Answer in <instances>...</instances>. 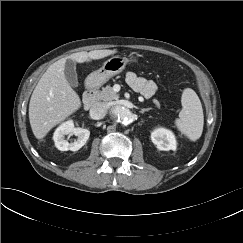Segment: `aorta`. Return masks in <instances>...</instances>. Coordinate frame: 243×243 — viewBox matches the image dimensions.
<instances>
[{
  "label": "aorta",
  "mask_w": 243,
  "mask_h": 243,
  "mask_svg": "<svg viewBox=\"0 0 243 243\" xmlns=\"http://www.w3.org/2000/svg\"><path fill=\"white\" fill-rule=\"evenodd\" d=\"M111 114L122 124H129L133 120V114L129 109L123 106H115L111 110Z\"/></svg>",
  "instance_id": "obj_1"
}]
</instances>
